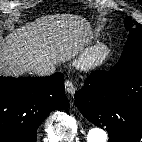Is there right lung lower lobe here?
Returning a JSON list of instances; mask_svg holds the SVG:
<instances>
[{
  "mask_svg": "<svg viewBox=\"0 0 142 142\" xmlns=\"http://www.w3.org/2000/svg\"><path fill=\"white\" fill-rule=\"evenodd\" d=\"M64 76L0 77V142H36L37 129L55 109H66Z\"/></svg>",
  "mask_w": 142,
  "mask_h": 142,
  "instance_id": "98d812e1",
  "label": "right lung lower lobe"
}]
</instances>
